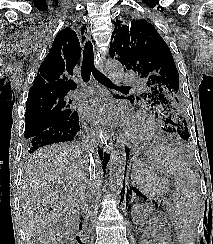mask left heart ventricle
<instances>
[{"instance_id":"obj_1","label":"left heart ventricle","mask_w":213,"mask_h":244,"mask_svg":"<svg viewBox=\"0 0 213 244\" xmlns=\"http://www.w3.org/2000/svg\"><path fill=\"white\" fill-rule=\"evenodd\" d=\"M142 128H143V126L139 122H131V124L129 125L130 131H132L134 133L140 132L142 130Z\"/></svg>"}]
</instances>
